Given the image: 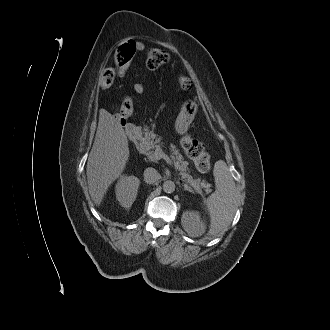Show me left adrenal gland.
Masks as SVG:
<instances>
[{
    "label": "left adrenal gland",
    "mask_w": 330,
    "mask_h": 330,
    "mask_svg": "<svg viewBox=\"0 0 330 330\" xmlns=\"http://www.w3.org/2000/svg\"><path fill=\"white\" fill-rule=\"evenodd\" d=\"M184 190H185V191H189V192H193V190H191L190 188H188V187H186V186H184Z\"/></svg>",
    "instance_id": "1"
}]
</instances>
